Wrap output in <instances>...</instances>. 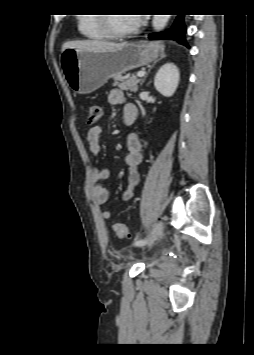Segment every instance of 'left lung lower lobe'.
<instances>
[{"instance_id":"left-lung-lower-lobe-1","label":"left lung lower lobe","mask_w":254,"mask_h":355,"mask_svg":"<svg viewBox=\"0 0 254 355\" xmlns=\"http://www.w3.org/2000/svg\"><path fill=\"white\" fill-rule=\"evenodd\" d=\"M184 14H179L176 18L171 29L165 32H158L149 35L150 39H171L180 42L181 44L188 46L184 37L186 27L183 20Z\"/></svg>"}]
</instances>
